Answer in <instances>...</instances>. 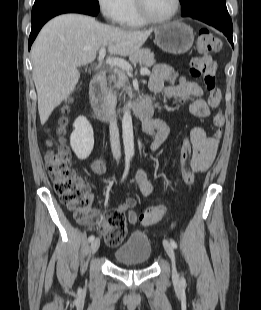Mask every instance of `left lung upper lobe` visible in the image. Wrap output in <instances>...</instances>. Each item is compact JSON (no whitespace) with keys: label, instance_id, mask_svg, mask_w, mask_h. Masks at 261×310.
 <instances>
[{"label":"left lung upper lobe","instance_id":"5c2ea615","mask_svg":"<svg viewBox=\"0 0 261 310\" xmlns=\"http://www.w3.org/2000/svg\"><path fill=\"white\" fill-rule=\"evenodd\" d=\"M182 16L193 17L211 11L219 5H226V0H180Z\"/></svg>","mask_w":261,"mask_h":310}]
</instances>
